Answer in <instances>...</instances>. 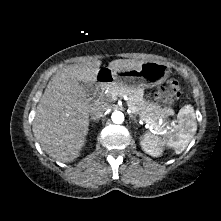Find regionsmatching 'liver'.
Returning a JSON list of instances; mask_svg holds the SVG:
<instances>
[{
    "label": "liver",
    "instance_id": "obj_1",
    "mask_svg": "<svg viewBox=\"0 0 221 221\" xmlns=\"http://www.w3.org/2000/svg\"><path fill=\"white\" fill-rule=\"evenodd\" d=\"M144 61L117 59L109 63L113 75L141 66ZM100 60L69 65L49 81L37 106L32 131L50 157L61 162L75 160L85 144L89 126V105L82 84L92 86L98 77Z\"/></svg>",
    "mask_w": 221,
    "mask_h": 221
}]
</instances>
